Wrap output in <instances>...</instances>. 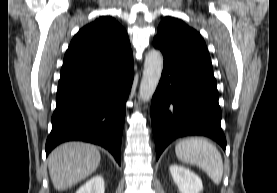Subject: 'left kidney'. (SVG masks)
Masks as SVG:
<instances>
[{"mask_svg":"<svg viewBox=\"0 0 277 193\" xmlns=\"http://www.w3.org/2000/svg\"><path fill=\"white\" fill-rule=\"evenodd\" d=\"M169 170L181 193H200L203 190L202 180L191 170L178 164H171Z\"/></svg>","mask_w":277,"mask_h":193,"instance_id":"left-kidney-1","label":"left kidney"}]
</instances>
